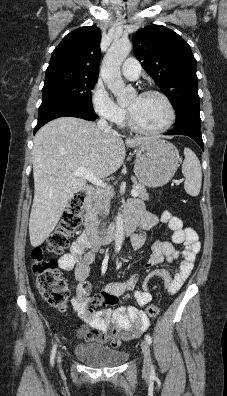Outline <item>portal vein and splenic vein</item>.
<instances>
[{
    "instance_id": "18ae733b",
    "label": "portal vein and splenic vein",
    "mask_w": 227,
    "mask_h": 396,
    "mask_svg": "<svg viewBox=\"0 0 227 396\" xmlns=\"http://www.w3.org/2000/svg\"><path fill=\"white\" fill-rule=\"evenodd\" d=\"M73 175H74V176H77V177L85 178V179L89 180L92 184H94V185H96V186H100V187H103V188L106 187V184L103 183V181H102L99 177L95 176V175H94L90 170H88V169L79 168L78 170H76L75 172H73ZM131 195L134 196V197L138 196L137 190L133 189V190L131 191Z\"/></svg>"
}]
</instances>
